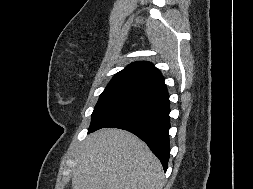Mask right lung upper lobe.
Instances as JSON below:
<instances>
[{
	"label": "right lung upper lobe",
	"instance_id": "cb5924a9",
	"mask_svg": "<svg viewBox=\"0 0 253 189\" xmlns=\"http://www.w3.org/2000/svg\"><path fill=\"white\" fill-rule=\"evenodd\" d=\"M166 87L160 71L151 63L139 61L116 73L107 88H131L147 93Z\"/></svg>",
	"mask_w": 253,
	"mask_h": 189
}]
</instances>
